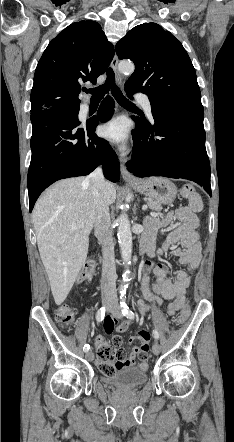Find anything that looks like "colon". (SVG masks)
I'll return each mask as SVG.
<instances>
[{
    "instance_id": "5ec220e1",
    "label": "colon",
    "mask_w": 234,
    "mask_h": 442,
    "mask_svg": "<svg viewBox=\"0 0 234 442\" xmlns=\"http://www.w3.org/2000/svg\"><path fill=\"white\" fill-rule=\"evenodd\" d=\"M181 195L182 197L187 198L189 200L195 199L197 197L195 188L191 184H187L182 187ZM95 267L96 265L93 260L86 261L78 277L79 283L81 284L87 283L93 276ZM189 313H190L189 307L187 305L184 306L179 316L174 320V322L176 324H182L188 318ZM55 319L62 326L68 327L73 321V312L71 308L68 305L60 306L55 312ZM97 354H98V362H97L98 368L105 375H110L115 370L127 366L126 352L122 347L116 349L115 347L111 346V344L108 343L101 344L98 346ZM145 361L146 360L142 361L140 364L142 368H147Z\"/></svg>"
}]
</instances>
